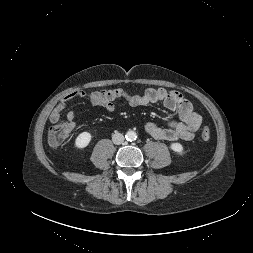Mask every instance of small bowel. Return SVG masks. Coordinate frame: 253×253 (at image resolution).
<instances>
[{"instance_id": "small-bowel-1", "label": "small bowel", "mask_w": 253, "mask_h": 253, "mask_svg": "<svg viewBox=\"0 0 253 253\" xmlns=\"http://www.w3.org/2000/svg\"><path fill=\"white\" fill-rule=\"evenodd\" d=\"M75 98H86L94 107H101L108 112L115 110L114 102L122 99L132 107L148 104H162L166 109L177 112L179 121L169 120L165 126L152 121L143 125L146 134L165 141H190L202 124V117L193 110V106L181 92L165 88H148L141 94H130L121 88L86 92L78 89L65 95L50 114V122L55 124L60 120L62 112L69 101ZM75 112L67 113L68 123L74 128Z\"/></svg>"}]
</instances>
